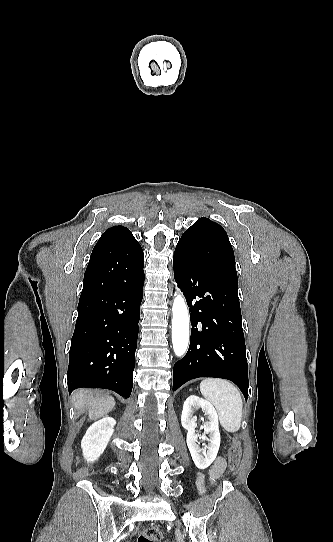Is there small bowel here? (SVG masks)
Instances as JSON below:
<instances>
[{"label":"small bowel","instance_id":"1","mask_svg":"<svg viewBox=\"0 0 333 542\" xmlns=\"http://www.w3.org/2000/svg\"><path fill=\"white\" fill-rule=\"evenodd\" d=\"M226 461L223 457H217L209 470V485H213L224 473ZM196 485L198 491L203 494L206 491L205 477L202 473L197 475Z\"/></svg>","mask_w":333,"mask_h":542}]
</instances>
